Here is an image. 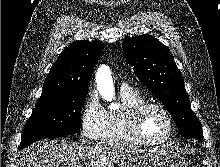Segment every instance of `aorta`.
<instances>
[{
  "instance_id": "1",
  "label": "aorta",
  "mask_w": 220,
  "mask_h": 167,
  "mask_svg": "<svg viewBox=\"0 0 220 167\" xmlns=\"http://www.w3.org/2000/svg\"><path fill=\"white\" fill-rule=\"evenodd\" d=\"M96 82L102 97L107 101H111L114 98V85L110 70L107 67L102 66L99 68L96 76ZM111 108L115 109L117 108V105L112 104Z\"/></svg>"
}]
</instances>
